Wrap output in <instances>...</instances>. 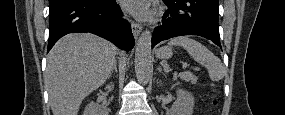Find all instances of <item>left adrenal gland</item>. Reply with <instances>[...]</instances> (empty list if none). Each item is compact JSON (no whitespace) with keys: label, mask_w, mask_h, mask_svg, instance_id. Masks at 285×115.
Listing matches in <instances>:
<instances>
[{"label":"left adrenal gland","mask_w":285,"mask_h":115,"mask_svg":"<svg viewBox=\"0 0 285 115\" xmlns=\"http://www.w3.org/2000/svg\"><path fill=\"white\" fill-rule=\"evenodd\" d=\"M157 70H158L159 72H162V67H161V66H158Z\"/></svg>","instance_id":"1"}]
</instances>
